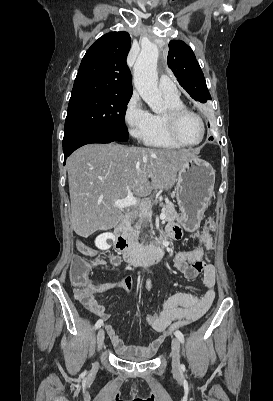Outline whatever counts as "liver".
Masks as SVG:
<instances>
[{"mask_svg":"<svg viewBox=\"0 0 273 401\" xmlns=\"http://www.w3.org/2000/svg\"><path fill=\"white\" fill-rule=\"evenodd\" d=\"M199 148H142L124 144H85L67 158L71 227L79 237L108 231L122 221L115 201L128 192L147 196L168 188L188 160H201ZM151 178V184L148 180Z\"/></svg>","mask_w":273,"mask_h":401,"instance_id":"6515ba94","label":"liver"}]
</instances>
